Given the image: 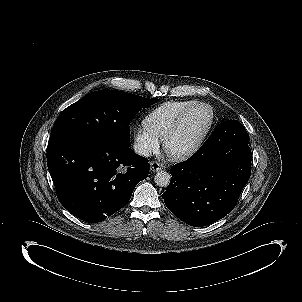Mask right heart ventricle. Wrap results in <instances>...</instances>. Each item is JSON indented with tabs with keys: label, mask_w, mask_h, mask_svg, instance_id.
Instances as JSON below:
<instances>
[{
	"label": "right heart ventricle",
	"mask_w": 302,
	"mask_h": 302,
	"mask_svg": "<svg viewBox=\"0 0 302 302\" xmlns=\"http://www.w3.org/2000/svg\"><path fill=\"white\" fill-rule=\"evenodd\" d=\"M191 106L189 102H169L162 105L147 118V130L156 138H164L176 119Z\"/></svg>",
	"instance_id": "right-heart-ventricle-1"
}]
</instances>
